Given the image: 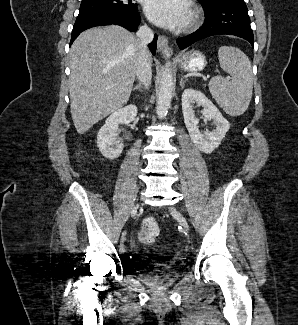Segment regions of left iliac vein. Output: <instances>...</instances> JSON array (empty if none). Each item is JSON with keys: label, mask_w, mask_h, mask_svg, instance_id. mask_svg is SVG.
<instances>
[{"label": "left iliac vein", "mask_w": 298, "mask_h": 325, "mask_svg": "<svg viewBox=\"0 0 298 325\" xmlns=\"http://www.w3.org/2000/svg\"><path fill=\"white\" fill-rule=\"evenodd\" d=\"M171 213L175 217V219L179 222V224L186 230H189V225L186 218L175 208H171Z\"/></svg>", "instance_id": "4c4485c4"}]
</instances>
